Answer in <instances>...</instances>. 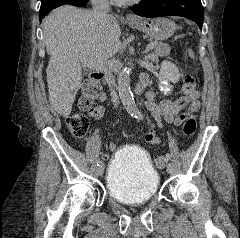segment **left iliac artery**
I'll use <instances>...</instances> for the list:
<instances>
[{"label":"left iliac artery","mask_w":240,"mask_h":238,"mask_svg":"<svg viewBox=\"0 0 240 238\" xmlns=\"http://www.w3.org/2000/svg\"><path fill=\"white\" fill-rule=\"evenodd\" d=\"M139 117L142 118L141 116H139ZM171 157H172L171 154H169V153L166 154V158H167L168 160H171Z\"/></svg>","instance_id":"left-iliac-artery-1"}]
</instances>
